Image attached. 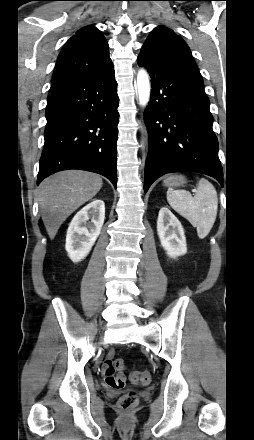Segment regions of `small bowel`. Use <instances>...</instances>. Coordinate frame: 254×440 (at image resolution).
<instances>
[{"label":"small bowel","instance_id":"obj_1","mask_svg":"<svg viewBox=\"0 0 254 440\" xmlns=\"http://www.w3.org/2000/svg\"><path fill=\"white\" fill-rule=\"evenodd\" d=\"M113 357H114V352L113 351L109 352L108 355L106 356V358L104 359V361L102 362L101 375H102L107 386L112 387V388H116L113 385V383L117 379L115 377L114 369L112 366Z\"/></svg>","mask_w":254,"mask_h":440}]
</instances>
